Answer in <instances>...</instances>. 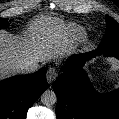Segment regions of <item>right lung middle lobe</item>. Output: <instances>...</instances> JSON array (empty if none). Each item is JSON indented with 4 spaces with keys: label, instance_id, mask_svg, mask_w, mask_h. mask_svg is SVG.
Here are the masks:
<instances>
[{
    "label": "right lung middle lobe",
    "instance_id": "1",
    "mask_svg": "<svg viewBox=\"0 0 119 119\" xmlns=\"http://www.w3.org/2000/svg\"><path fill=\"white\" fill-rule=\"evenodd\" d=\"M9 24L7 22V19H0V29L8 27Z\"/></svg>",
    "mask_w": 119,
    "mask_h": 119
}]
</instances>
